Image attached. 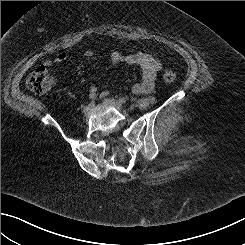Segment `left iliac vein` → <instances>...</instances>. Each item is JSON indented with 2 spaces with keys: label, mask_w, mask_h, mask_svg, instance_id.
<instances>
[{
  "label": "left iliac vein",
  "mask_w": 245,
  "mask_h": 245,
  "mask_svg": "<svg viewBox=\"0 0 245 245\" xmlns=\"http://www.w3.org/2000/svg\"><path fill=\"white\" fill-rule=\"evenodd\" d=\"M104 103L106 105H109V106H112V107L116 108L119 111H122L123 110L122 104L120 102L114 100V99H108V98H106V99H104Z\"/></svg>",
  "instance_id": "1"
}]
</instances>
